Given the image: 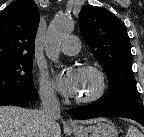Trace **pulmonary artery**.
<instances>
[{"mask_svg":"<svg viewBox=\"0 0 144 137\" xmlns=\"http://www.w3.org/2000/svg\"><path fill=\"white\" fill-rule=\"evenodd\" d=\"M79 49L80 40L74 35L66 37L60 46V50L66 55H74Z\"/></svg>","mask_w":144,"mask_h":137,"instance_id":"pulmonary-artery-1","label":"pulmonary artery"}]
</instances>
